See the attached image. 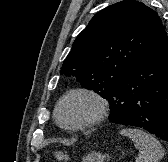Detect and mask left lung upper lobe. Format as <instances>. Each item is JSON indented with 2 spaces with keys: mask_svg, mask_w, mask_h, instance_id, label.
Wrapping results in <instances>:
<instances>
[{
  "mask_svg": "<svg viewBox=\"0 0 168 162\" xmlns=\"http://www.w3.org/2000/svg\"><path fill=\"white\" fill-rule=\"evenodd\" d=\"M163 30L157 13L141 2L110 5L77 36L60 73L76 77L82 87L110 101Z\"/></svg>",
  "mask_w": 168,
  "mask_h": 162,
  "instance_id": "5c2ea615",
  "label": "left lung upper lobe"
}]
</instances>
